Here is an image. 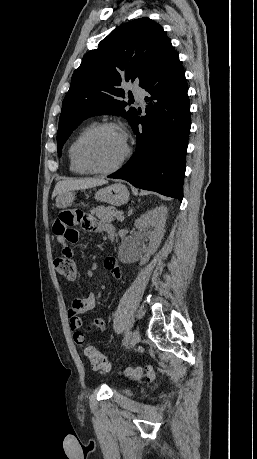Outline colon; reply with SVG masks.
<instances>
[{
  "instance_id": "colon-1",
  "label": "colon",
  "mask_w": 257,
  "mask_h": 459,
  "mask_svg": "<svg viewBox=\"0 0 257 459\" xmlns=\"http://www.w3.org/2000/svg\"><path fill=\"white\" fill-rule=\"evenodd\" d=\"M55 269L56 271L67 278H75L76 276V263L75 261H69L68 258H64L63 255L55 259ZM85 354L89 359L92 367L96 370L108 371L110 370V363L106 356L102 354L99 350L94 347H86ZM128 376L134 378H153L155 376V371L152 365L146 366L145 369L142 368H131L126 371Z\"/></svg>"
}]
</instances>
